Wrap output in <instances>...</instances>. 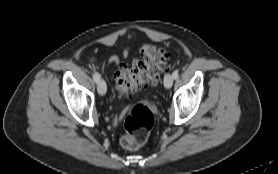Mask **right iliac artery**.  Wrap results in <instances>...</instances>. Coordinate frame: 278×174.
Listing matches in <instances>:
<instances>
[{
  "instance_id": "right-iliac-artery-1",
  "label": "right iliac artery",
  "mask_w": 278,
  "mask_h": 174,
  "mask_svg": "<svg viewBox=\"0 0 278 174\" xmlns=\"http://www.w3.org/2000/svg\"><path fill=\"white\" fill-rule=\"evenodd\" d=\"M93 79L96 83H98L99 79H100V75L97 72H94L93 73Z\"/></svg>"
}]
</instances>
